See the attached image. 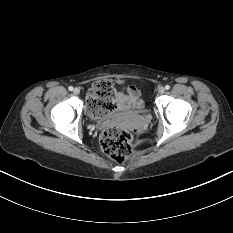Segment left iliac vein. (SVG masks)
I'll use <instances>...</instances> for the list:
<instances>
[{"instance_id":"left-iliac-vein-1","label":"left iliac vein","mask_w":233,"mask_h":233,"mask_svg":"<svg viewBox=\"0 0 233 233\" xmlns=\"http://www.w3.org/2000/svg\"><path fill=\"white\" fill-rule=\"evenodd\" d=\"M158 91L160 94H163L165 92V89L163 87H159Z\"/></svg>"}]
</instances>
